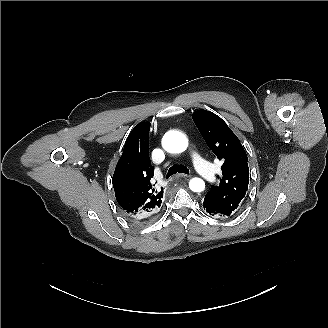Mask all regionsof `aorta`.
Segmentation results:
<instances>
[{
	"mask_svg": "<svg viewBox=\"0 0 328 328\" xmlns=\"http://www.w3.org/2000/svg\"><path fill=\"white\" fill-rule=\"evenodd\" d=\"M162 144L168 152L181 153L187 149L188 140L183 133L172 130L164 135ZM189 188L193 192H202L205 189V182L197 177L192 178L189 182Z\"/></svg>",
	"mask_w": 328,
	"mask_h": 328,
	"instance_id": "aorta-1",
	"label": "aorta"
}]
</instances>
